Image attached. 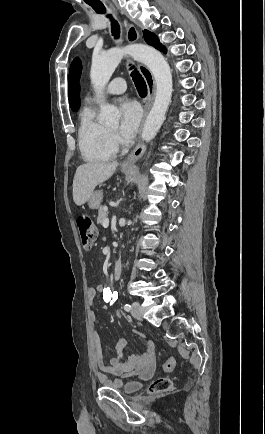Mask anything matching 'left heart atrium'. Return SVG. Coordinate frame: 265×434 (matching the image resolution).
Instances as JSON below:
<instances>
[{"label":"left heart atrium","mask_w":265,"mask_h":434,"mask_svg":"<svg viewBox=\"0 0 265 434\" xmlns=\"http://www.w3.org/2000/svg\"><path fill=\"white\" fill-rule=\"evenodd\" d=\"M120 112V132L125 138H132L136 134L142 118L141 107L134 100H124L120 104Z\"/></svg>","instance_id":"obj_1"}]
</instances>
